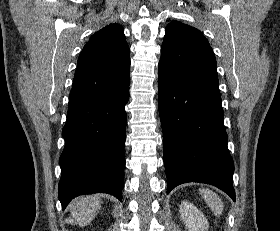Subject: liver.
<instances>
[{
	"label": "liver",
	"instance_id": "liver-1",
	"mask_svg": "<svg viewBox=\"0 0 280 231\" xmlns=\"http://www.w3.org/2000/svg\"><path fill=\"white\" fill-rule=\"evenodd\" d=\"M101 207V201L97 195H81L71 203L72 215L80 227L88 225Z\"/></svg>",
	"mask_w": 280,
	"mask_h": 231
}]
</instances>
